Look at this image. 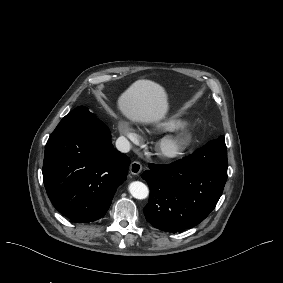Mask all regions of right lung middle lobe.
<instances>
[{
	"label": "right lung middle lobe",
	"instance_id": "right-lung-middle-lobe-1",
	"mask_svg": "<svg viewBox=\"0 0 283 283\" xmlns=\"http://www.w3.org/2000/svg\"><path fill=\"white\" fill-rule=\"evenodd\" d=\"M73 120H80V121H86L90 123L95 124H101L103 123L100 121L95 114L91 113L87 107L85 106H79L72 110L68 115H66L61 122L66 121H73Z\"/></svg>",
	"mask_w": 283,
	"mask_h": 283
}]
</instances>
